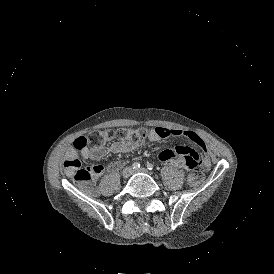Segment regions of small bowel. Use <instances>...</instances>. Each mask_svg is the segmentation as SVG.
I'll return each mask as SVG.
<instances>
[{
    "instance_id": "small-bowel-1",
    "label": "small bowel",
    "mask_w": 274,
    "mask_h": 274,
    "mask_svg": "<svg viewBox=\"0 0 274 274\" xmlns=\"http://www.w3.org/2000/svg\"><path fill=\"white\" fill-rule=\"evenodd\" d=\"M168 137H184L194 143L204 156L199 161V154L189 147L169 146L167 149L158 150L156 157L165 161L171 168H180L182 166L198 170L201 166L208 169L211 165L208 155V148L204 140L195 132L181 129H169L166 127H155L148 131L147 138L151 142H157ZM136 147L134 143L127 141H115L111 145H97L92 147H83L79 152L84 159L99 160L108 153H125ZM115 166V165H113ZM103 168H101V172Z\"/></svg>"
}]
</instances>
